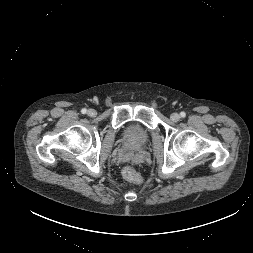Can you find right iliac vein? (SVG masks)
Instances as JSON below:
<instances>
[{
  "label": "right iliac vein",
  "mask_w": 253,
  "mask_h": 253,
  "mask_svg": "<svg viewBox=\"0 0 253 253\" xmlns=\"http://www.w3.org/2000/svg\"><path fill=\"white\" fill-rule=\"evenodd\" d=\"M87 114L90 116V117H94L96 116L97 112L94 110V109H89L87 111Z\"/></svg>",
  "instance_id": "63e3f726"
}]
</instances>
